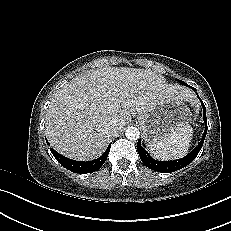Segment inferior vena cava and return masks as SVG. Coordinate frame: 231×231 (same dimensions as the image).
Masks as SVG:
<instances>
[{"instance_id":"602c4592","label":"inferior vena cava","mask_w":231,"mask_h":231,"mask_svg":"<svg viewBox=\"0 0 231 231\" xmlns=\"http://www.w3.org/2000/svg\"><path fill=\"white\" fill-rule=\"evenodd\" d=\"M108 132L111 133V134H116L117 132V128L115 126H109L107 128Z\"/></svg>"}]
</instances>
